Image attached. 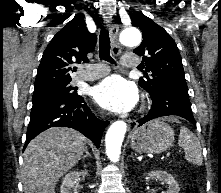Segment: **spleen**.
Returning <instances> with one entry per match:
<instances>
[{"label":"spleen","mask_w":221,"mask_h":193,"mask_svg":"<svg viewBox=\"0 0 221 193\" xmlns=\"http://www.w3.org/2000/svg\"><path fill=\"white\" fill-rule=\"evenodd\" d=\"M178 144L185 151L187 161L200 166L203 162L202 148L198 138L188 128H180Z\"/></svg>","instance_id":"3e777b00"}]
</instances>
